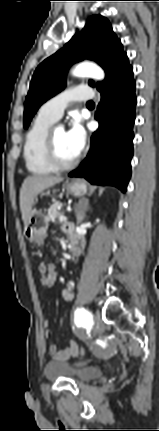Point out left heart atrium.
I'll use <instances>...</instances> for the list:
<instances>
[{"label": "left heart atrium", "mask_w": 159, "mask_h": 431, "mask_svg": "<svg viewBox=\"0 0 159 431\" xmlns=\"http://www.w3.org/2000/svg\"><path fill=\"white\" fill-rule=\"evenodd\" d=\"M65 134L69 148L78 156L85 145L86 134L84 128L78 121H74Z\"/></svg>", "instance_id": "1"}]
</instances>
